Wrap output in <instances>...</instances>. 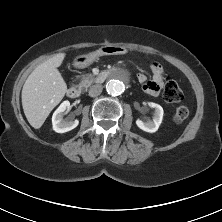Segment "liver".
<instances>
[{
    "label": "liver",
    "mask_w": 222,
    "mask_h": 222,
    "mask_svg": "<svg viewBox=\"0 0 222 222\" xmlns=\"http://www.w3.org/2000/svg\"><path fill=\"white\" fill-rule=\"evenodd\" d=\"M65 53H58L38 65L22 88V106L29 124L39 129L53 108L63 99L67 85L57 69Z\"/></svg>",
    "instance_id": "obj_1"
}]
</instances>
